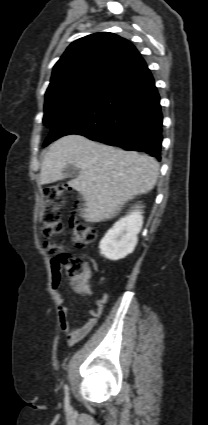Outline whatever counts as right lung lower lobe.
Wrapping results in <instances>:
<instances>
[{
	"label": "right lung lower lobe",
	"mask_w": 208,
	"mask_h": 425,
	"mask_svg": "<svg viewBox=\"0 0 208 425\" xmlns=\"http://www.w3.org/2000/svg\"><path fill=\"white\" fill-rule=\"evenodd\" d=\"M160 97L153 76L140 59L104 89L93 103L57 119L46 142L79 134L158 160L162 142Z\"/></svg>",
	"instance_id": "right-lung-lower-lobe-1"
}]
</instances>
